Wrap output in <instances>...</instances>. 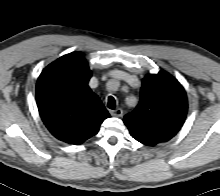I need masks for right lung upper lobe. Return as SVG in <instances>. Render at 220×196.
Listing matches in <instances>:
<instances>
[{
	"label": "right lung upper lobe",
	"mask_w": 220,
	"mask_h": 196,
	"mask_svg": "<svg viewBox=\"0 0 220 196\" xmlns=\"http://www.w3.org/2000/svg\"><path fill=\"white\" fill-rule=\"evenodd\" d=\"M91 76L84 55L73 52L52 62L38 78L40 116L50 133L63 142L82 144L110 116L88 86Z\"/></svg>",
	"instance_id": "obj_1"
}]
</instances>
